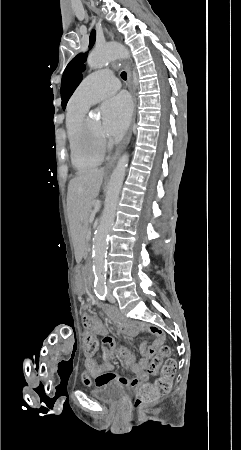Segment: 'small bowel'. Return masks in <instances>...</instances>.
Returning <instances> with one entry per match:
<instances>
[{
    "instance_id": "obj_1",
    "label": "small bowel",
    "mask_w": 241,
    "mask_h": 450,
    "mask_svg": "<svg viewBox=\"0 0 241 450\" xmlns=\"http://www.w3.org/2000/svg\"><path fill=\"white\" fill-rule=\"evenodd\" d=\"M81 317L84 318L86 331L84 333L103 334L102 339V362L97 363L95 356L91 361H85L86 375L84 383L88 386L94 385L97 388L109 389L112 386H126L136 388L141 383L147 381L151 373L149 364L154 358L157 349L165 341V333L162 328L142 321L125 320L120 323V331L128 338L136 336L140 331H146L154 339L149 342L144 340L139 347L141 358L136 360V356L131 349L117 346L111 336L105 335V326L96 318L92 317L91 309H82ZM97 339V338H96ZM110 350H112L123 363L129 367L134 377H125L113 371V364L110 361ZM93 380H92V379Z\"/></svg>"
}]
</instances>
